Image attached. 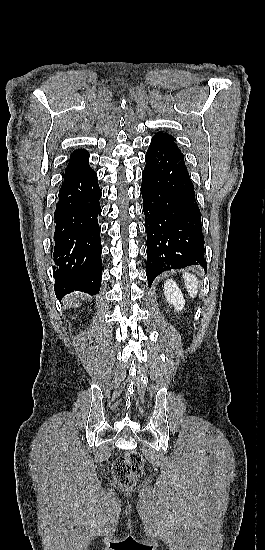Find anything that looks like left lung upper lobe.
<instances>
[{
	"label": "left lung upper lobe",
	"instance_id": "obj_1",
	"mask_svg": "<svg viewBox=\"0 0 265 550\" xmlns=\"http://www.w3.org/2000/svg\"><path fill=\"white\" fill-rule=\"evenodd\" d=\"M152 141H156L160 144H163V145H166V146H169V147H172L178 151L179 148L178 146L175 144V138L167 133H164V132H158L156 133L153 138H152Z\"/></svg>",
	"mask_w": 265,
	"mask_h": 550
}]
</instances>
